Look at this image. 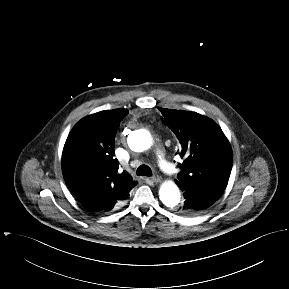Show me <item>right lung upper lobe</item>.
Returning <instances> with one entry per match:
<instances>
[{
    "mask_svg": "<svg viewBox=\"0 0 289 289\" xmlns=\"http://www.w3.org/2000/svg\"><path fill=\"white\" fill-rule=\"evenodd\" d=\"M127 109L101 111L73 127L62 153V172L69 190L90 211L107 212L129 198L135 185L119 174L114 141Z\"/></svg>",
    "mask_w": 289,
    "mask_h": 289,
    "instance_id": "cb5924a9",
    "label": "right lung upper lobe"
}]
</instances>
